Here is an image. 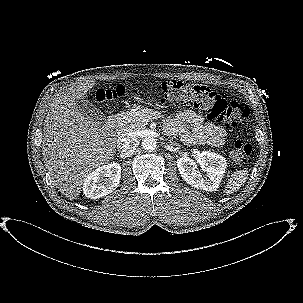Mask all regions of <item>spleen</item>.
<instances>
[{
	"instance_id": "1",
	"label": "spleen",
	"mask_w": 303,
	"mask_h": 303,
	"mask_svg": "<svg viewBox=\"0 0 303 303\" xmlns=\"http://www.w3.org/2000/svg\"><path fill=\"white\" fill-rule=\"evenodd\" d=\"M248 178V170H237L235 171L231 177L228 179L227 185L225 187V194H231L234 191H237L244 183L246 182V179Z\"/></svg>"
}]
</instances>
